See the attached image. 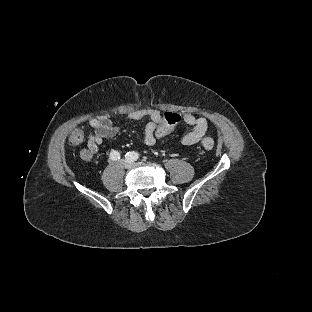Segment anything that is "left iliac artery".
<instances>
[{
	"mask_svg": "<svg viewBox=\"0 0 312 312\" xmlns=\"http://www.w3.org/2000/svg\"><path fill=\"white\" fill-rule=\"evenodd\" d=\"M126 156L133 158L134 160H136L138 158V154L135 152H128L126 154Z\"/></svg>",
	"mask_w": 312,
	"mask_h": 312,
	"instance_id": "1",
	"label": "left iliac artery"
}]
</instances>
